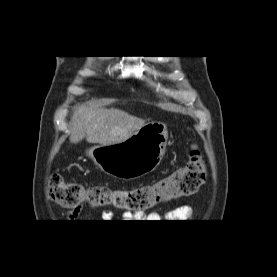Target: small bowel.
<instances>
[{
	"instance_id": "1",
	"label": "small bowel",
	"mask_w": 277,
	"mask_h": 277,
	"mask_svg": "<svg viewBox=\"0 0 277 277\" xmlns=\"http://www.w3.org/2000/svg\"><path fill=\"white\" fill-rule=\"evenodd\" d=\"M81 211L80 207L72 209L68 215L67 220H75ZM194 209L191 205H182L176 208L171 209L165 215L153 211L147 215L131 214L124 213V220H137V222H161L162 220H173V222H185L193 218ZM102 216L106 220H110L113 217V213L109 210H105L102 213ZM143 220V221H140Z\"/></svg>"
}]
</instances>
